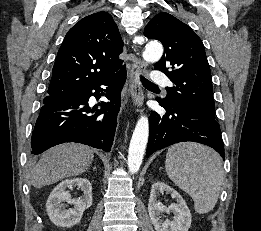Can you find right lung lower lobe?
<instances>
[{"instance_id":"1","label":"right lung lower lobe","mask_w":261,"mask_h":231,"mask_svg":"<svg viewBox=\"0 0 261 231\" xmlns=\"http://www.w3.org/2000/svg\"><path fill=\"white\" fill-rule=\"evenodd\" d=\"M125 79L124 68L77 95L44 104L33 130L31 153L38 155L64 142H78L109 152L113 144L116 117L121 104L120 94ZM102 85L106 86V90L100 87ZM103 90L110 102H102L100 110L95 107L91 109L88 105L89 98L100 96L99 93Z\"/></svg>"}]
</instances>
